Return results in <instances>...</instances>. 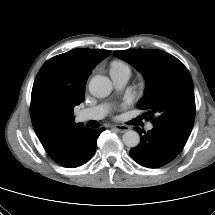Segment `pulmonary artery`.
<instances>
[{"mask_svg": "<svg viewBox=\"0 0 215 215\" xmlns=\"http://www.w3.org/2000/svg\"><path fill=\"white\" fill-rule=\"evenodd\" d=\"M112 82L116 89H122L127 84L130 73L128 72H114L110 73ZM108 112V106L105 104L97 105L94 107L86 108L81 110L78 115L77 119L80 122L89 121V120H100L102 119ZM153 125L149 123L147 125V129L151 130Z\"/></svg>", "mask_w": 215, "mask_h": 215, "instance_id": "obj_1", "label": "pulmonary artery"}]
</instances>
